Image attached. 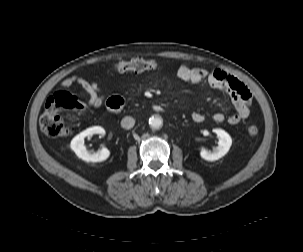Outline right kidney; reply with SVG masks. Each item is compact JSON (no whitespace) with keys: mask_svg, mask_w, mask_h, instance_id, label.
Returning <instances> with one entry per match:
<instances>
[{"mask_svg":"<svg viewBox=\"0 0 303 252\" xmlns=\"http://www.w3.org/2000/svg\"><path fill=\"white\" fill-rule=\"evenodd\" d=\"M104 133L105 130L101 126L90 127L75 136L71 141L70 147L79 158L86 162L105 161L110 156V151L107 148H102L98 152H88L86 146L84 145L85 137Z\"/></svg>","mask_w":303,"mask_h":252,"instance_id":"right-kidney-1","label":"right kidney"}]
</instances>
